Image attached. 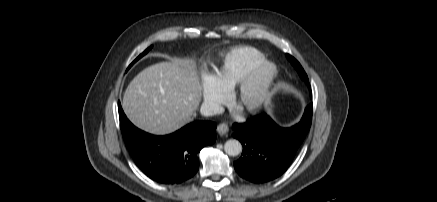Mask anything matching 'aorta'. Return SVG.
I'll list each match as a JSON object with an SVG mask.
<instances>
[{
  "label": "aorta",
  "mask_w": 437,
  "mask_h": 202,
  "mask_svg": "<svg viewBox=\"0 0 437 202\" xmlns=\"http://www.w3.org/2000/svg\"><path fill=\"white\" fill-rule=\"evenodd\" d=\"M224 150L229 156H237L242 151V145L238 140L230 139L225 142Z\"/></svg>",
  "instance_id": "762f6f07"
}]
</instances>
